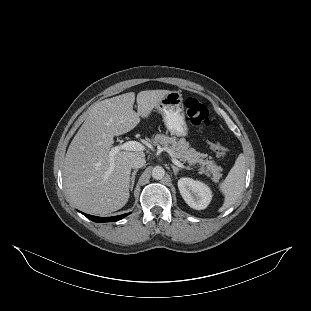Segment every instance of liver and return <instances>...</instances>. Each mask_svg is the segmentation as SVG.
I'll return each mask as SVG.
<instances>
[{
    "mask_svg": "<svg viewBox=\"0 0 311 311\" xmlns=\"http://www.w3.org/2000/svg\"><path fill=\"white\" fill-rule=\"evenodd\" d=\"M170 90L124 93L97 103L71 141L63 163V183L75 205L86 213L108 215L130 198L131 161L142 150L109 157L114 138L148 120ZM137 104V112L133 110Z\"/></svg>",
    "mask_w": 311,
    "mask_h": 311,
    "instance_id": "obj_1",
    "label": "liver"
}]
</instances>
